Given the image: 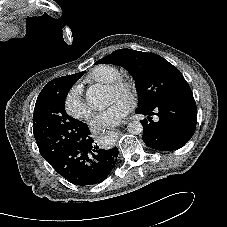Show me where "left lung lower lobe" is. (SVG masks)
<instances>
[{"instance_id":"0a47b994","label":"left lung lower lobe","mask_w":227,"mask_h":227,"mask_svg":"<svg viewBox=\"0 0 227 227\" xmlns=\"http://www.w3.org/2000/svg\"><path fill=\"white\" fill-rule=\"evenodd\" d=\"M156 112L158 122L152 120ZM137 114L147 115L141 121L145 144L160 151L183 147L193 136L197 123V107L193 97L160 102L149 108L137 109Z\"/></svg>"}]
</instances>
